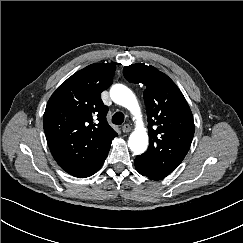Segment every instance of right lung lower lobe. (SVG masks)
Here are the masks:
<instances>
[{"instance_id":"98d812e1","label":"right lung lower lobe","mask_w":243,"mask_h":243,"mask_svg":"<svg viewBox=\"0 0 243 243\" xmlns=\"http://www.w3.org/2000/svg\"><path fill=\"white\" fill-rule=\"evenodd\" d=\"M103 163H104V162H103ZM103 163H102V164H103ZM101 166H102V165H101ZM101 166H100V167H101ZM100 167H99V168H100ZM98 170H99V169H98ZM98 170H97V171H98ZM93 174H94V173H93ZM93 174H92V175H93ZM90 176H91V175H90Z\"/></svg>"}]
</instances>
